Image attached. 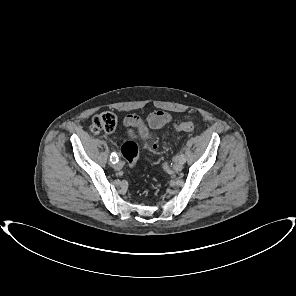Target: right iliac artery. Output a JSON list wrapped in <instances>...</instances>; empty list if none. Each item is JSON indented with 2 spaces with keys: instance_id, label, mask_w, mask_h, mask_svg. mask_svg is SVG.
<instances>
[{
  "instance_id": "right-iliac-artery-1",
  "label": "right iliac artery",
  "mask_w": 296,
  "mask_h": 296,
  "mask_svg": "<svg viewBox=\"0 0 296 296\" xmlns=\"http://www.w3.org/2000/svg\"><path fill=\"white\" fill-rule=\"evenodd\" d=\"M110 161H111L112 164H115V163L118 162V156H117L116 153L111 154Z\"/></svg>"
}]
</instances>
